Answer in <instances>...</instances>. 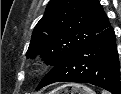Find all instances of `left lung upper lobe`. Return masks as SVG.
<instances>
[{"label":"left lung upper lobe","instance_id":"obj_1","mask_svg":"<svg viewBox=\"0 0 121 94\" xmlns=\"http://www.w3.org/2000/svg\"><path fill=\"white\" fill-rule=\"evenodd\" d=\"M109 26L98 0H50L34 28L26 55H41L47 64L57 65Z\"/></svg>","mask_w":121,"mask_h":94}]
</instances>
